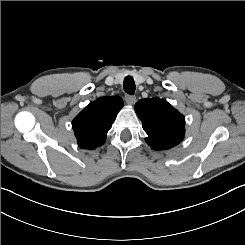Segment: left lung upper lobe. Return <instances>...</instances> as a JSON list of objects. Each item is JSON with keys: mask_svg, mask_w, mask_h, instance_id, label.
Wrapping results in <instances>:
<instances>
[{"mask_svg": "<svg viewBox=\"0 0 245 245\" xmlns=\"http://www.w3.org/2000/svg\"><path fill=\"white\" fill-rule=\"evenodd\" d=\"M135 110L152 149H170L183 140L185 117L165 99H141L135 104Z\"/></svg>", "mask_w": 245, "mask_h": 245, "instance_id": "left-lung-upper-lobe-1", "label": "left lung upper lobe"}]
</instances>
